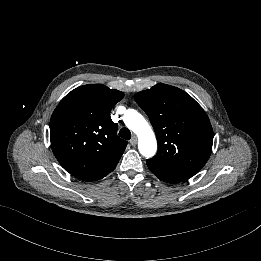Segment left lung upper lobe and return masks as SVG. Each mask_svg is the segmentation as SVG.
Returning a JSON list of instances; mask_svg holds the SVG:
<instances>
[{
    "instance_id": "left-lung-upper-lobe-1",
    "label": "left lung upper lobe",
    "mask_w": 261,
    "mask_h": 261,
    "mask_svg": "<svg viewBox=\"0 0 261 261\" xmlns=\"http://www.w3.org/2000/svg\"><path fill=\"white\" fill-rule=\"evenodd\" d=\"M135 100L155 131V160L186 170H201L212 153L214 139L203 108L184 90L164 83L137 92Z\"/></svg>"
}]
</instances>
